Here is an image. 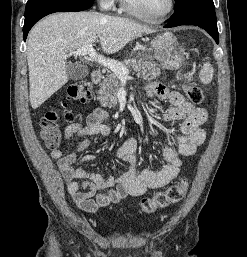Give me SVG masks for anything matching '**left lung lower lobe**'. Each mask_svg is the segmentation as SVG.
I'll return each instance as SVG.
<instances>
[{
    "instance_id": "left-lung-lower-lobe-1",
    "label": "left lung lower lobe",
    "mask_w": 247,
    "mask_h": 257,
    "mask_svg": "<svg viewBox=\"0 0 247 257\" xmlns=\"http://www.w3.org/2000/svg\"><path fill=\"white\" fill-rule=\"evenodd\" d=\"M195 25L205 29L219 43L217 20L213 0H195L178 9L170 17L165 28Z\"/></svg>"
}]
</instances>
